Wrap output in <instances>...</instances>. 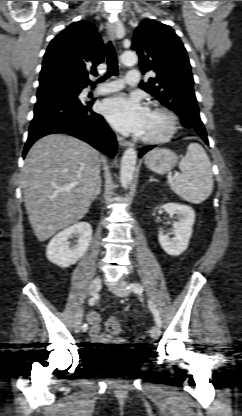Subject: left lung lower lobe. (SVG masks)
Here are the masks:
<instances>
[{"label": "left lung lower lobe", "instance_id": "obj_1", "mask_svg": "<svg viewBox=\"0 0 242 416\" xmlns=\"http://www.w3.org/2000/svg\"><path fill=\"white\" fill-rule=\"evenodd\" d=\"M191 134L193 136H196L198 139L202 140L203 142H205L207 145H209L208 144L207 135H204V134L198 135L195 132H192ZM154 147H155V145L143 147L142 150H141V152H140V154H139V157H141L142 155H144L146 152H148L149 150H151Z\"/></svg>", "mask_w": 242, "mask_h": 416}]
</instances>
